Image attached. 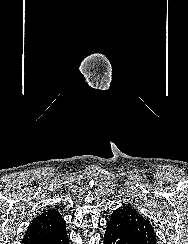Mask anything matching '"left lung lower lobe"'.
<instances>
[{
  "instance_id": "1",
  "label": "left lung lower lobe",
  "mask_w": 188,
  "mask_h": 244,
  "mask_svg": "<svg viewBox=\"0 0 188 244\" xmlns=\"http://www.w3.org/2000/svg\"><path fill=\"white\" fill-rule=\"evenodd\" d=\"M104 244H150L118 213L113 212L104 234Z\"/></svg>"
}]
</instances>
